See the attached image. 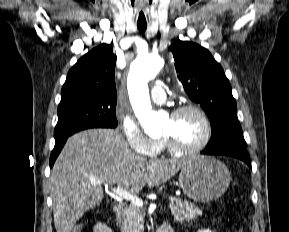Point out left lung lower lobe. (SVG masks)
Returning a JSON list of instances; mask_svg holds the SVG:
<instances>
[{
	"label": "left lung lower lobe",
	"instance_id": "0a47b994",
	"mask_svg": "<svg viewBox=\"0 0 289 232\" xmlns=\"http://www.w3.org/2000/svg\"><path fill=\"white\" fill-rule=\"evenodd\" d=\"M201 153L206 155H226L235 157L244 161L251 168V161L246 147H229L212 151L204 150Z\"/></svg>",
	"mask_w": 289,
	"mask_h": 232
}]
</instances>
